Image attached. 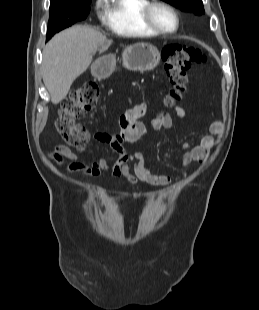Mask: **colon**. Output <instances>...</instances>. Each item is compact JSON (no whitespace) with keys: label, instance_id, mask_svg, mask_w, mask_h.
I'll return each instance as SVG.
<instances>
[{"label":"colon","instance_id":"1","mask_svg":"<svg viewBox=\"0 0 259 310\" xmlns=\"http://www.w3.org/2000/svg\"><path fill=\"white\" fill-rule=\"evenodd\" d=\"M205 60L200 49L170 44L162 50V61L170 87L164 91L165 103L173 106L182 100L186 90L187 71ZM99 98V89L93 83L74 89L61 106L56 128L62 140L71 147H81L88 143V132L77 120L92 111Z\"/></svg>","mask_w":259,"mask_h":310}]
</instances>
